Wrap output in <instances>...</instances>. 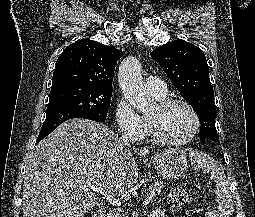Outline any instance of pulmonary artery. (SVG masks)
Returning a JSON list of instances; mask_svg holds the SVG:
<instances>
[{
  "label": "pulmonary artery",
  "instance_id": "1",
  "mask_svg": "<svg viewBox=\"0 0 255 217\" xmlns=\"http://www.w3.org/2000/svg\"><path fill=\"white\" fill-rule=\"evenodd\" d=\"M145 89L156 96H165L167 93L165 81L157 76H149L146 78Z\"/></svg>",
  "mask_w": 255,
  "mask_h": 217
}]
</instances>
